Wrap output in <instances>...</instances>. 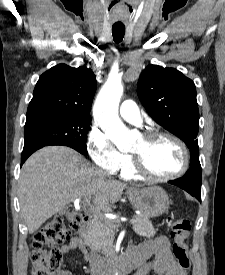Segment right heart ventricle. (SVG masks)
Segmentation results:
<instances>
[{
    "label": "right heart ventricle",
    "mask_w": 225,
    "mask_h": 275,
    "mask_svg": "<svg viewBox=\"0 0 225 275\" xmlns=\"http://www.w3.org/2000/svg\"><path fill=\"white\" fill-rule=\"evenodd\" d=\"M120 174L125 179H137L139 177L132 167L131 158H129L127 165L120 170Z\"/></svg>",
    "instance_id": "right-heart-ventricle-1"
}]
</instances>
